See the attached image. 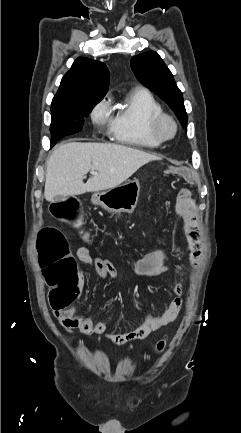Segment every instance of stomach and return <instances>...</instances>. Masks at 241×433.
Masks as SVG:
<instances>
[{
	"label": "stomach",
	"instance_id": "0dacf381",
	"mask_svg": "<svg viewBox=\"0 0 241 433\" xmlns=\"http://www.w3.org/2000/svg\"><path fill=\"white\" fill-rule=\"evenodd\" d=\"M140 196V182L134 180L112 189L103 190L92 196V203L111 213H131L137 206Z\"/></svg>",
	"mask_w": 241,
	"mask_h": 433
}]
</instances>
